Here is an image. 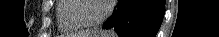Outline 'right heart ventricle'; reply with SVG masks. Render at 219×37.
Masks as SVG:
<instances>
[{
	"label": "right heart ventricle",
	"instance_id": "e07e8e85",
	"mask_svg": "<svg viewBox=\"0 0 219 37\" xmlns=\"http://www.w3.org/2000/svg\"><path fill=\"white\" fill-rule=\"evenodd\" d=\"M73 0H59L56 2L55 11L59 30L69 33L83 28L81 24L72 17Z\"/></svg>",
	"mask_w": 219,
	"mask_h": 37
}]
</instances>
